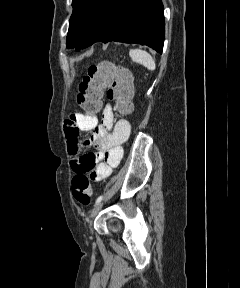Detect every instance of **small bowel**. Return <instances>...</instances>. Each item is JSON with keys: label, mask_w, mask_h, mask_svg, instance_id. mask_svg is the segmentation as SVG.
<instances>
[{"label": "small bowel", "mask_w": 240, "mask_h": 288, "mask_svg": "<svg viewBox=\"0 0 240 288\" xmlns=\"http://www.w3.org/2000/svg\"><path fill=\"white\" fill-rule=\"evenodd\" d=\"M71 168L77 174L98 182L107 178L123 158L122 144L131 126L127 120L115 121L113 108L107 104L101 118L81 113L71 114L64 122ZM91 131L89 140L81 141L80 132ZM92 145L96 152L82 153V146Z\"/></svg>", "instance_id": "obj_1"}]
</instances>
